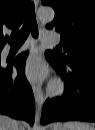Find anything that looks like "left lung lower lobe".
Listing matches in <instances>:
<instances>
[{
  "instance_id": "1",
  "label": "left lung lower lobe",
  "mask_w": 95,
  "mask_h": 130,
  "mask_svg": "<svg viewBox=\"0 0 95 130\" xmlns=\"http://www.w3.org/2000/svg\"><path fill=\"white\" fill-rule=\"evenodd\" d=\"M66 84L63 96L48 99L43 107L42 124L54 121H95V61L79 60L63 64L45 53Z\"/></svg>"
}]
</instances>
